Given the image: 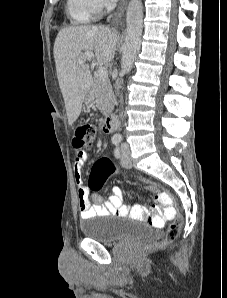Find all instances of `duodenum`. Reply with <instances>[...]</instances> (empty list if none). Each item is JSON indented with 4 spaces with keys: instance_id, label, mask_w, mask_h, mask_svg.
Segmentation results:
<instances>
[{
    "instance_id": "duodenum-1",
    "label": "duodenum",
    "mask_w": 227,
    "mask_h": 298,
    "mask_svg": "<svg viewBox=\"0 0 227 298\" xmlns=\"http://www.w3.org/2000/svg\"><path fill=\"white\" fill-rule=\"evenodd\" d=\"M116 124H117L116 115L114 113H109L106 116L104 126H103V130L106 133H111L115 130Z\"/></svg>"
}]
</instances>
